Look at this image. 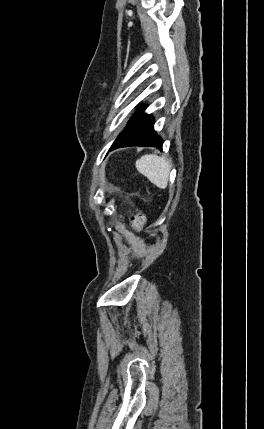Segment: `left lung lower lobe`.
<instances>
[{"label": "left lung lower lobe", "mask_w": 264, "mask_h": 429, "mask_svg": "<svg viewBox=\"0 0 264 429\" xmlns=\"http://www.w3.org/2000/svg\"><path fill=\"white\" fill-rule=\"evenodd\" d=\"M153 125V118L144 114L143 109L136 111L110 150L127 146H151L162 150L163 141L155 133Z\"/></svg>", "instance_id": "0a47b994"}]
</instances>
